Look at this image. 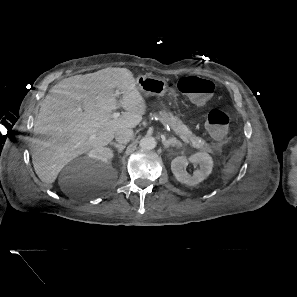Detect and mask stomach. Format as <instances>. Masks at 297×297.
<instances>
[{
	"label": "stomach",
	"mask_w": 297,
	"mask_h": 297,
	"mask_svg": "<svg viewBox=\"0 0 297 297\" xmlns=\"http://www.w3.org/2000/svg\"><path fill=\"white\" fill-rule=\"evenodd\" d=\"M136 83L146 96H163L167 92V82L161 78L142 75L137 78Z\"/></svg>",
	"instance_id": "obj_1"
}]
</instances>
